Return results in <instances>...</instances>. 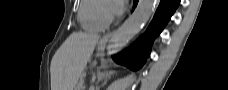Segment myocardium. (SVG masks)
I'll return each mask as SVG.
<instances>
[{
	"mask_svg": "<svg viewBox=\"0 0 228 90\" xmlns=\"http://www.w3.org/2000/svg\"><path fill=\"white\" fill-rule=\"evenodd\" d=\"M100 15L106 24H110L114 21L113 13L111 11V5H110L109 1H106L101 6Z\"/></svg>",
	"mask_w": 228,
	"mask_h": 90,
	"instance_id": "myocardium-1",
	"label": "myocardium"
}]
</instances>
